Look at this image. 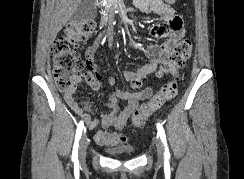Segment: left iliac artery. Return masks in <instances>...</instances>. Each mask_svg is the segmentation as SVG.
<instances>
[{
    "label": "left iliac artery",
    "instance_id": "1",
    "mask_svg": "<svg viewBox=\"0 0 244 179\" xmlns=\"http://www.w3.org/2000/svg\"><path fill=\"white\" fill-rule=\"evenodd\" d=\"M157 130H158V134L160 136V139L162 140L164 147H165V156H170L169 150H168V146H167V142H166V135H165V131L164 128L162 126V124L157 123Z\"/></svg>",
    "mask_w": 244,
    "mask_h": 179
}]
</instances>
